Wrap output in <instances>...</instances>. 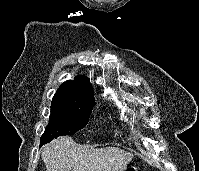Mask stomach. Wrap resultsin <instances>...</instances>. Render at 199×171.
<instances>
[{"instance_id":"stomach-1","label":"stomach","mask_w":199,"mask_h":171,"mask_svg":"<svg viewBox=\"0 0 199 171\" xmlns=\"http://www.w3.org/2000/svg\"><path fill=\"white\" fill-rule=\"evenodd\" d=\"M121 171H138V167L135 165H127Z\"/></svg>"}]
</instances>
